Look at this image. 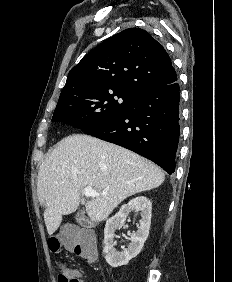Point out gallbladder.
Returning a JSON list of instances; mask_svg holds the SVG:
<instances>
[{"label":"gallbladder","mask_w":232,"mask_h":282,"mask_svg":"<svg viewBox=\"0 0 232 282\" xmlns=\"http://www.w3.org/2000/svg\"><path fill=\"white\" fill-rule=\"evenodd\" d=\"M76 220L79 224H85L87 222L82 212L78 213V215L76 216Z\"/></svg>","instance_id":"bac80fb5"}]
</instances>
